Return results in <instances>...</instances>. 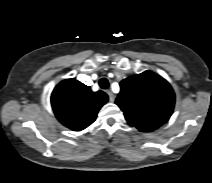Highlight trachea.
<instances>
[{"label": "trachea", "mask_w": 212, "mask_h": 183, "mask_svg": "<svg viewBox=\"0 0 212 183\" xmlns=\"http://www.w3.org/2000/svg\"><path fill=\"white\" fill-rule=\"evenodd\" d=\"M99 85L102 89H108L109 88V82L106 78H101L99 80Z\"/></svg>", "instance_id": "trachea-1"}]
</instances>
